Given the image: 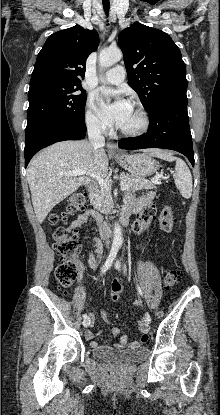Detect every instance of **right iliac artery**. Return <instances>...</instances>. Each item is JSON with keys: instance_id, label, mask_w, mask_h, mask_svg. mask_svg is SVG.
I'll use <instances>...</instances> for the list:
<instances>
[{"instance_id": "obj_1", "label": "right iliac artery", "mask_w": 220, "mask_h": 415, "mask_svg": "<svg viewBox=\"0 0 220 415\" xmlns=\"http://www.w3.org/2000/svg\"><path fill=\"white\" fill-rule=\"evenodd\" d=\"M118 249H119L118 245H113L112 246L110 254H109L105 264L102 267L101 274H104L111 267L116 255H117ZM83 318L87 319L88 318L87 314H83Z\"/></svg>"}]
</instances>
